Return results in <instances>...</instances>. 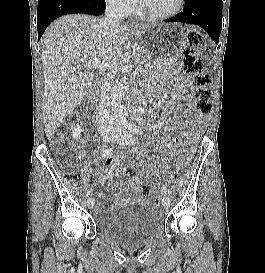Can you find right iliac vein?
I'll use <instances>...</instances> for the list:
<instances>
[{
  "label": "right iliac vein",
  "mask_w": 265,
  "mask_h": 273,
  "mask_svg": "<svg viewBox=\"0 0 265 273\" xmlns=\"http://www.w3.org/2000/svg\"><path fill=\"white\" fill-rule=\"evenodd\" d=\"M115 140H116L115 136H109V137L107 138V141L113 142V141H115ZM87 206H88V208H90V209L94 206V199H93V198H89V199L87 200Z\"/></svg>",
  "instance_id": "1"
}]
</instances>
